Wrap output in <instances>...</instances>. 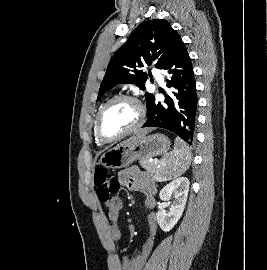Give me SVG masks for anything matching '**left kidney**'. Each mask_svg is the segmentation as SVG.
<instances>
[{"label":"left kidney","mask_w":267,"mask_h":270,"mask_svg":"<svg viewBox=\"0 0 267 270\" xmlns=\"http://www.w3.org/2000/svg\"><path fill=\"white\" fill-rule=\"evenodd\" d=\"M189 184L186 177H180L168 183L160 191L159 197L162 201H170L172 194L174 198L169 213L164 210H159L156 213L157 222L164 232L172 230L181 218L187 202Z\"/></svg>","instance_id":"5707ae66"}]
</instances>
